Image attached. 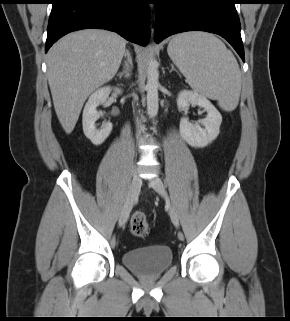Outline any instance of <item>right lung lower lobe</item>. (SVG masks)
<instances>
[{"label": "right lung lower lobe", "mask_w": 290, "mask_h": 321, "mask_svg": "<svg viewBox=\"0 0 290 321\" xmlns=\"http://www.w3.org/2000/svg\"><path fill=\"white\" fill-rule=\"evenodd\" d=\"M149 0H52L45 52L65 34L86 28L117 32L129 41L149 43Z\"/></svg>", "instance_id": "98d812e1"}]
</instances>
